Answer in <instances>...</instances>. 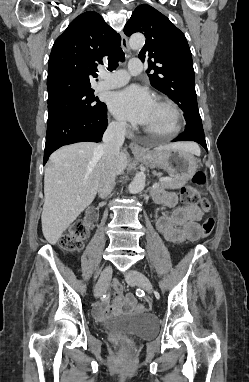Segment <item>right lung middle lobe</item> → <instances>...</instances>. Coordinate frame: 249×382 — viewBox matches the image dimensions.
<instances>
[{
    "mask_svg": "<svg viewBox=\"0 0 249 382\" xmlns=\"http://www.w3.org/2000/svg\"><path fill=\"white\" fill-rule=\"evenodd\" d=\"M104 106L105 104L94 96L92 89L68 95L48 103L49 114L47 125L72 117H93L96 116Z\"/></svg>",
    "mask_w": 249,
    "mask_h": 382,
    "instance_id": "right-lung-middle-lobe-1",
    "label": "right lung middle lobe"
}]
</instances>
